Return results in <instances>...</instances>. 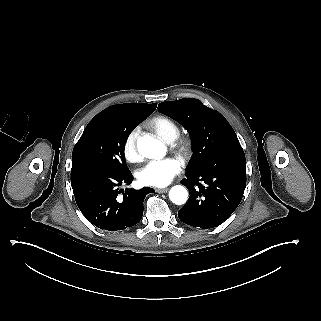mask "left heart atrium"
Wrapping results in <instances>:
<instances>
[{"label":"left heart atrium","mask_w":321,"mask_h":321,"mask_svg":"<svg viewBox=\"0 0 321 321\" xmlns=\"http://www.w3.org/2000/svg\"><path fill=\"white\" fill-rule=\"evenodd\" d=\"M183 168V162L176 157H166L148 162L138 171V179L143 185L163 187L172 182Z\"/></svg>","instance_id":"left-heart-atrium-1"}]
</instances>
